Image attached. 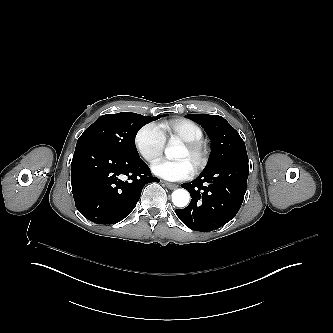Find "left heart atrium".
Segmentation results:
<instances>
[{
    "label": "left heart atrium",
    "mask_w": 333,
    "mask_h": 333,
    "mask_svg": "<svg viewBox=\"0 0 333 333\" xmlns=\"http://www.w3.org/2000/svg\"><path fill=\"white\" fill-rule=\"evenodd\" d=\"M153 172L166 180L184 181L194 176L195 168L185 160L162 161L153 168Z\"/></svg>",
    "instance_id": "1"
}]
</instances>
